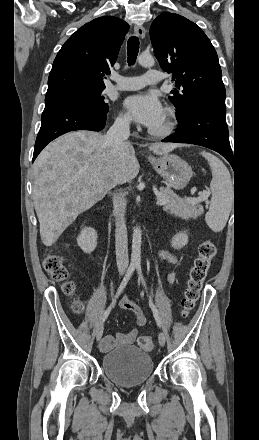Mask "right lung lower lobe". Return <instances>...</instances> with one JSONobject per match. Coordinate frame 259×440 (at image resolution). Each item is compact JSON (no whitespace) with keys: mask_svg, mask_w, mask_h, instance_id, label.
Listing matches in <instances>:
<instances>
[{"mask_svg":"<svg viewBox=\"0 0 259 440\" xmlns=\"http://www.w3.org/2000/svg\"><path fill=\"white\" fill-rule=\"evenodd\" d=\"M107 112L81 104H61L45 107L37 135L32 162L42 149L60 135L74 130L100 131Z\"/></svg>","mask_w":259,"mask_h":440,"instance_id":"1","label":"right lung lower lobe"}]
</instances>
